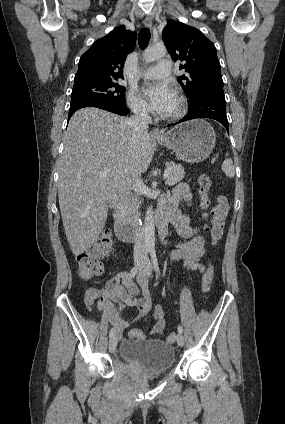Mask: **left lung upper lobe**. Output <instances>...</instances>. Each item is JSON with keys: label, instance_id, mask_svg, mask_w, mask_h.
<instances>
[{"label": "left lung upper lobe", "instance_id": "1", "mask_svg": "<svg viewBox=\"0 0 285 424\" xmlns=\"http://www.w3.org/2000/svg\"><path fill=\"white\" fill-rule=\"evenodd\" d=\"M162 37L174 61L180 60V70L187 75L177 77L185 94L192 101L209 88H223L220 63L214 44L199 30L184 23L169 20Z\"/></svg>", "mask_w": 285, "mask_h": 424}]
</instances>
